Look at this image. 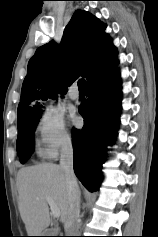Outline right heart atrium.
I'll list each match as a JSON object with an SVG mask.
<instances>
[{
	"label": "right heart atrium",
	"mask_w": 158,
	"mask_h": 237,
	"mask_svg": "<svg viewBox=\"0 0 158 237\" xmlns=\"http://www.w3.org/2000/svg\"><path fill=\"white\" fill-rule=\"evenodd\" d=\"M38 150L43 157L53 158L61 149L71 144V135L64 117L53 107H46L41 112L38 123Z\"/></svg>",
	"instance_id": "1"
}]
</instances>
